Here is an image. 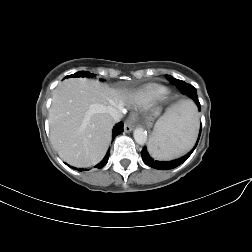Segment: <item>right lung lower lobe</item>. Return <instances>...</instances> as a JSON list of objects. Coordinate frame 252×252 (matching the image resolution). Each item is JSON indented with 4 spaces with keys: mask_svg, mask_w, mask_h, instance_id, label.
Listing matches in <instances>:
<instances>
[{
    "mask_svg": "<svg viewBox=\"0 0 252 252\" xmlns=\"http://www.w3.org/2000/svg\"><path fill=\"white\" fill-rule=\"evenodd\" d=\"M123 131V123L122 122H119L118 124H116L113 128V132H112V136H113V140L114 138L119 135L121 132ZM108 158H109V151L107 152L106 156L104 157V159L99 163L97 164L95 167L97 168H102L106 165V163L108 162ZM73 169H76L74 167H71ZM78 171H83V170H87V169H77Z\"/></svg>",
    "mask_w": 252,
    "mask_h": 252,
    "instance_id": "obj_1",
    "label": "right lung lower lobe"
}]
</instances>
